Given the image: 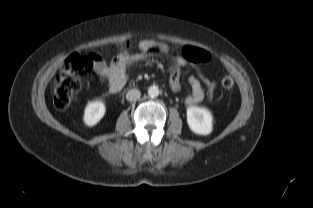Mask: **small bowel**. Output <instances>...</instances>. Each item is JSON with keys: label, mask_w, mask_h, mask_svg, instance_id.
<instances>
[{"label": "small bowel", "mask_w": 313, "mask_h": 208, "mask_svg": "<svg viewBox=\"0 0 313 208\" xmlns=\"http://www.w3.org/2000/svg\"><path fill=\"white\" fill-rule=\"evenodd\" d=\"M140 54L131 55L128 51L119 53L108 65L102 59L94 62L93 70L99 77L101 84L108 83L111 92L118 91L127 81L128 68L142 61H145L151 54H174V50L168 44L157 42L155 40H142L139 43ZM188 61L183 55H174L170 66L169 85L172 91L181 90V71L188 65ZM188 82L191 86V92L186 97L185 103L188 107H193L200 103L205 97V91L201 81L194 75H189Z\"/></svg>", "instance_id": "obj_1"}]
</instances>
